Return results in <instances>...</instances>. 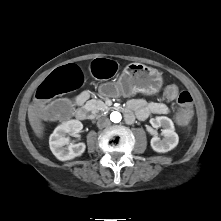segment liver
Returning <instances> with one entry per match:
<instances>
[{
	"mask_svg": "<svg viewBox=\"0 0 221 221\" xmlns=\"http://www.w3.org/2000/svg\"><path fill=\"white\" fill-rule=\"evenodd\" d=\"M42 112L36 104H30L28 107V119L29 123L35 133L39 138L43 137L44 125L42 123Z\"/></svg>",
	"mask_w": 221,
	"mask_h": 221,
	"instance_id": "1",
	"label": "liver"
}]
</instances>
